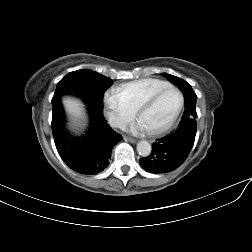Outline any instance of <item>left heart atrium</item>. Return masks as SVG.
Returning <instances> with one entry per match:
<instances>
[{
	"instance_id": "left-heart-atrium-1",
	"label": "left heart atrium",
	"mask_w": 252,
	"mask_h": 252,
	"mask_svg": "<svg viewBox=\"0 0 252 252\" xmlns=\"http://www.w3.org/2000/svg\"><path fill=\"white\" fill-rule=\"evenodd\" d=\"M146 128L144 127V125L142 124V122L140 120H138L137 122H134L131 126H130V131L137 133L140 131L145 130Z\"/></svg>"
}]
</instances>
